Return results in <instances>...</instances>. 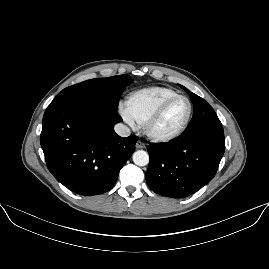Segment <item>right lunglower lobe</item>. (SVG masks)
I'll return each mask as SVG.
<instances>
[{
    "mask_svg": "<svg viewBox=\"0 0 269 269\" xmlns=\"http://www.w3.org/2000/svg\"><path fill=\"white\" fill-rule=\"evenodd\" d=\"M117 108L99 101L57 95L46 109L40 143L49 171L80 195L109 191L135 151L137 137L117 135Z\"/></svg>",
    "mask_w": 269,
    "mask_h": 269,
    "instance_id": "obj_1",
    "label": "right lung lower lobe"
}]
</instances>
